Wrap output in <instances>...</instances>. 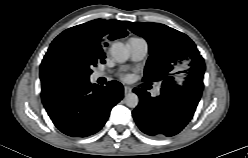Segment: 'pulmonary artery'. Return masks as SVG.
I'll list each match as a JSON object with an SVG mask.
<instances>
[{"instance_id":"pulmonary-artery-1","label":"pulmonary artery","mask_w":248,"mask_h":158,"mask_svg":"<svg viewBox=\"0 0 248 158\" xmlns=\"http://www.w3.org/2000/svg\"><path fill=\"white\" fill-rule=\"evenodd\" d=\"M131 60L134 62L142 61L149 51L148 42L144 38L132 37L128 40ZM106 74L103 71H96L93 75L95 79L104 77ZM159 88L155 90L158 92Z\"/></svg>"}]
</instances>
